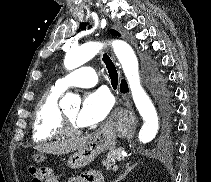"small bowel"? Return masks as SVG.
I'll return each instance as SVG.
<instances>
[{
	"label": "small bowel",
	"mask_w": 211,
	"mask_h": 182,
	"mask_svg": "<svg viewBox=\"0 0 211 182\" xmlns=\"http://www.w3.org/2000/svg\"><path fill=\"white\" fill-rule=\"evenodd\" d=\"M31 173V172H30ZM32 175V173H31ZM32 182H38L32 175ZM68 182H104L103 176L98 171H88L79 176L69 178Z\"/></svg>",
	"instance_id": "obj_1"
}]
</instances>
